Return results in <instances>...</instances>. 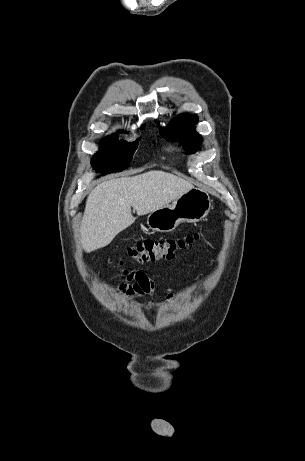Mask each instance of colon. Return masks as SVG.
Listing matches in <instances>:
<instances>
[{
	"label": "colon",
	"instance_id": "colon-1",
	"mask_svg": "<svg viewBox=\"0 0 305 461\" xmlns=\"http://www.w3.org/2000/svg\"><path fill=\"white\" fill-rule=\"evenodd\" d=\"M202 236V232H195L181 238L140 241L130 247L128 255L132 260L141 264L172 259L178 251L199 240Z\"/></svg>",
	"mask_w": 305,
	"mask_h": 461
}]
</instances>
